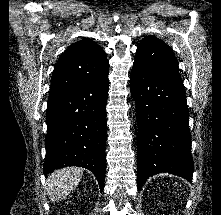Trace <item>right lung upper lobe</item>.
<instances>
[{
    "label": "right lung upper lobe",
    "mask_w": 221,
    "mask_h": 215,
    "mask_svg": "<svg viewBox=\"0 0 221 215\" xmlns=\"http://www.w3.org/2000/svg\"><path fill=\"white\" fill-rule=\"evenodd\" d=\"M103 49L90 39L73 43L58 60L49 98L70 92L109 72Z\"/></svg>",
    "instance_id": "1"
}]
</instances>
